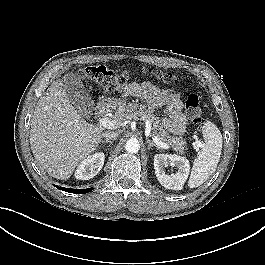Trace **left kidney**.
Masks as SVG:
<instances>
[{"instance_id": "left-kidney-1", "label": "left kidney", "mask_w": 265, "mask_h": 265, "mask_svg": "<svg viewBox=\"0 0 265 265\" xmlns=\"http://www.w3.org/2000/svg\"><path fill=\"white\" fill-rule=\"evenodd\" d=\"M171 166L176 169L175 174L167 175L165 167ZM155 174L160 184L173 190H181L186 182L190 165L189 161L182 156L172 154H156L154 156Z\"/></svg>"}]
</instances>
